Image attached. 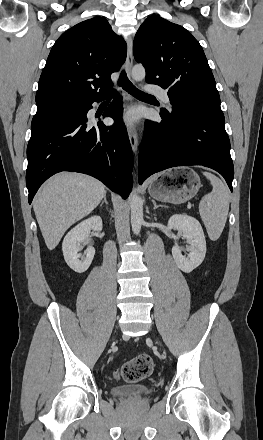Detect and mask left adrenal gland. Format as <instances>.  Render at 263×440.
Segmentation results:
<instances>
[{
	"instance_id": "left-adrenal-gland-1",
	"label": "left adrenal gland",
	"mask_w": 263,
	"mask_h": 440,
	"mask_svg": "<svg viewBox=\"0 0 263 440\" xmlns=\"http://www.w3.org/2000/svg\"><path fill=\"white\" fill-rule=\"evenodd\" d=\"M152 203H153V205H154V208H153L154 210L157 209L158 207L166 208V206H164V205H157L156 202H155V200H152Z\"/></svg>"
}]
</instances>
